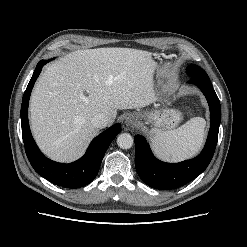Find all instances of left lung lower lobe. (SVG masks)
Segmentation results:
<instances>
[{"mask_svg": "<svg viewBox=\"0 0 247 247\" xmlns=\"http://www.w3.org/2000/svg\"><path fill=\"white\" fill-rule=\"evenodd\" d=\"M188 83L198 86L209 104L211 126L207 141L197 157L180 163H165L154 157L143 136L136 135L134 140L137 173L144 183L155 189H174L195 179L207 168L216 148L221 121L219 99L210 81L192 77Z\"/></svg>", "mask_w": 247, "mask_h": 247, "instance_id": "0a47b994", "label": "left lung lower lobe"}]
</instances>
